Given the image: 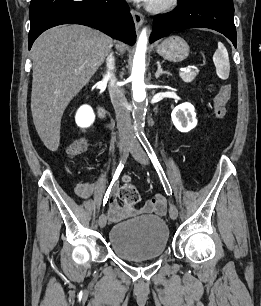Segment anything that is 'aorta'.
<instances>
[{
    "mask_svg": "<svg viewBox=\"0 0 261 306\" xmlns=\"http://www.w3.org/2000/svg\"><path fill=\"white\" fill-rule=\"evenodd\" d=\"M147 31L143 29L137 41L136 52L132 66V91L137 110L136 114L139 117L143 113L144 102L146 99L144 73H145V54L147 49Z\"/></svg>",
    "mask_w": 261,
    "mask_h": 306,
    "instance_id": "1",
    "label": "aorta"
}]
</instances>
